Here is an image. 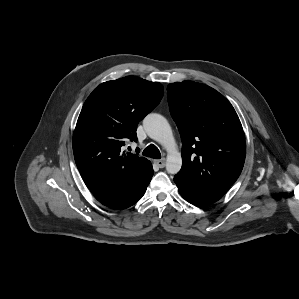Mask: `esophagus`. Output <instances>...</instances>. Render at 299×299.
<instances>
[{"instance_id": "34e87169", "label": "esophagus", "mask_w": 299, "mask_h": 299, "mask_svg": "<svg viewBox=\"0 0 299 299\" xmlns=\"http://www.w3.org/2000/svg\"><path fill=\"white\" fill-rule=\"evenodd\" d=\"M154 162L159 168H163L165 166V159L155 160Z\"/></svg>"}]
</instances>
